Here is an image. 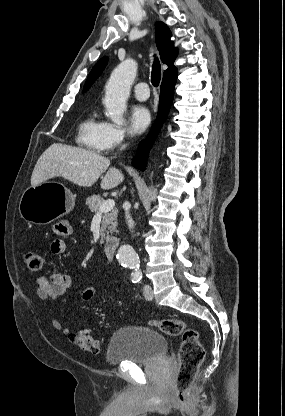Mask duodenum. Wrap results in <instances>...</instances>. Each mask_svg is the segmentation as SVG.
<instances>
[{
    "mask_svg": "<svg viewBox=\"0 0 285 416\" xmlns=\"http://www.w3.org/2000/svg\"><path fill=\"white\" fill-rule=\"evenodd\" d=\"M119 246L118 238H110L103 244V253L105 257L109 260H112L115 257L117 248Z\"/></svg>",
    "mask_w": 285,
    "mask_h": 416,
    "instance_id": "duodenum-1",
    "label": "duodenum"
}]
</instances>
